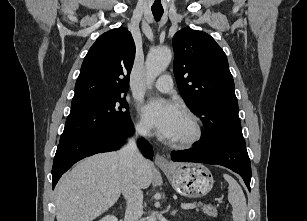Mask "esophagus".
I'll use <instances>...</instances> for the list:
<instances>
[{"label":"esophagus","mask_w":307,"mask_h":221,"mask_svg":"<svg viewBox=\"0 0 307 221\" xmlns=\"http://www.w3.org/2000/svg\"><path fill=\"white\" fill-rule=\"evenodd\" d=\"M155 163L160 168H168L171 166L170 162L162 155L156 154Z\"/></svg>","instance_id":"esophagus-1"}]
</instances>
